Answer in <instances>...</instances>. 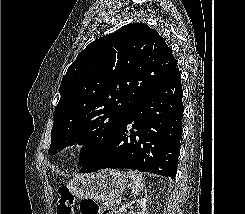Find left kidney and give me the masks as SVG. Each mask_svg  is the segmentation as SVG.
<instances>
[{
	"instance_id": "left-kidney-1",
	"label": "left kidney",
	"mask_w": 245,
	"mask_h": 214,
	"mask_svg": "<svg viewBox=\"0 0 245 214\" xmlns=\"http://www.w3.org/2000/svg\"><path fill=\"white\" fill-rule=\"evenodd\" d=\"M146 204H147V199L146 198H141L137 199L135 201H131L127 203L126 205L122 206L119 208L116 214H126L127 213V208L128 209H133L134 205L137 207L138 212H132L131 214H147L146 213Z\"/></svg>"
}]
</instances>
